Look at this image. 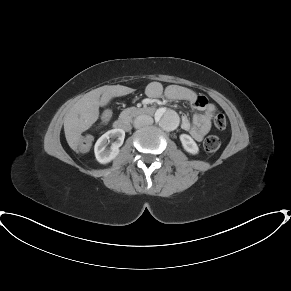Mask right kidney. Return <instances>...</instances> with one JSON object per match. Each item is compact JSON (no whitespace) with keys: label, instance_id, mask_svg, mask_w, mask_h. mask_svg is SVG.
I'll list each match as a JSON object with an SVG mask.
<instances>
[{"label":"right kidney","instance_id":"obj_1","mask_svg":"<svg viewBox=\"0 0 291 291\" xmlns=\"http://www.w3.org/2000/svg\"><path fill=\"white\" fill-rule=\"evenodd\" d=\"M125 138V131L122 129H112L103 134L95 143L94 152L97 161L106 164L112 161L118 154ZM112 141L111 146L107 147Z\"/></svg>","mask_w":291,"mask_h":291}]
</instances>
